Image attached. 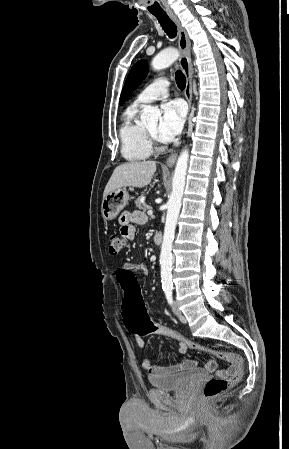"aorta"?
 <instances>
[{
	"mask_svg": "<svg viewBox=\"0 0 289 449\" xmlns=\"http://www.w3.org/2000/svg\"><path fill=\"white\" fill-rule=\"evenodd\" d=\"M179 58V51L175 48H168L157 54L152 60V67L154 70H161ZM161 116L160 110L157 107L146 105L143 108L141 120L144 123L156 122ZM189 151L182 150L180 153L175 172L172 180V193L167 203V216L164 229L163 242L160 253L161 266V281L163 288L172 287V244L174 240L175 228L177 219L181 209V201L185 188L186 173L188 168Z\"/></svg>",
	"mask_w": 289,
	"mask_h": 449,
	"instance_id": "aorta-1",
	"label": "aorta"
}]
</instances>
